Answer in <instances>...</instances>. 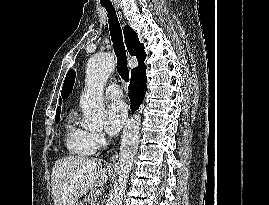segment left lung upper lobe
Here are the masks:
<instances>
[{"label": "left lung upper lobe", "mask_w": 269, "mask_h": 205, "mask_svg": "<svg viewBox=\"0 0 269 205\" xmlns=\"http://www.w3.org/2000/svg\"><path fill=\"white\" fill-rule=\"evenodd\" d=\"M74 80H75V72L73 69H71L65 78L64 84H63V88H62V97L63 98H67L73 88V84H74Z\"/></svg>", "instance_id": "obj_1"}]
</instances>
